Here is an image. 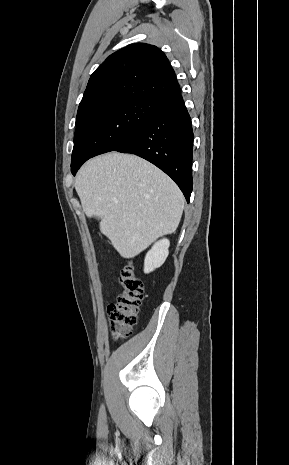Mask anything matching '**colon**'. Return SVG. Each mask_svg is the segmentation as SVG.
I'll list each match as a JSON object with an SVG mask.
<instances>
[{"label": "colon", "instance_id": "1", "mask_svg": "<svg viewBox=\"0 0 289 465\" xmlns=\"http://www.w3.org/2000/svg\"><path fill=\"white\" fill-rule=\"evenodd\" d=\"M120 292L113 303L108 306L111 332L115 339L129 336L143 298V283L136 276L132 263L126 264L118 275Z\"/></svg>", "mask_w": 289, "mask_h": 465}]
</instances>
